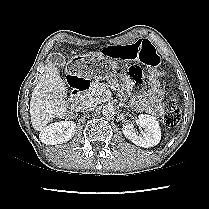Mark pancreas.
Returning <instances> with one entry per match:
<instances>
[{
    "mask_svg": "<svg viewBox=\"0 0 209 209\" xmlns=\"http://www.w3.org/2000/svg\"><path fill=\"white\" fill-rule=\"evenodd\" d=\"M102 85H104V83H101L98 81L93 82L91 84L89 91H87L86 96L87 97H97V96L101 95L102 92L100 91V89H101Z\"/></svg>",
    "mask_w": 209,
    "mask_h": 209,
    "instance_id": "obj_1",
    "label": "pancreas"
}]
</instances>
